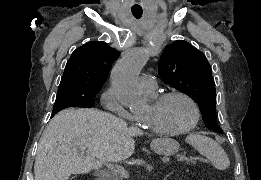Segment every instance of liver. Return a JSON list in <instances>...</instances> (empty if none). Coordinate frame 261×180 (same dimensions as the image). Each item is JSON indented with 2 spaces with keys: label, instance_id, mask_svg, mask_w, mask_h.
<instances>
[{
  "label": "liver",
  "instance_id": "6515ba94",
  "mask_svg": "<svg viewBox=\"0 0 261 180\" xmlns=\"http://www.w3.org/2000/svg\"><path fill=\"white\" fill-rule=\"evenodd\" d=\"M139 128L101 110H63L50 120L38 144L35 180H69L108 162L127 160L135 150Z\"/></svg>",
  "mask_w": 261,
  "mask_h": 180
}]
</instances>
